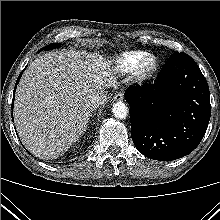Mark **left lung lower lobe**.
<instances>
[{"label": "left lung lower lobe", "instance_id": "0a47b994", "mask_svg": "<svg viewBox=\"0 0 220 220\" xmlns=\"http://www.w3.org/2000/svg\"><path fill=\"white\" fill-rule=\"evenodd\" d=\"M131 136L145 156L160 161L190 154L201 142L211 116L209 87L196 62L172 54L154 84L125 94Z\"/></svg>", "mask_w": 220, "mask_h": 220}]
</instances>
